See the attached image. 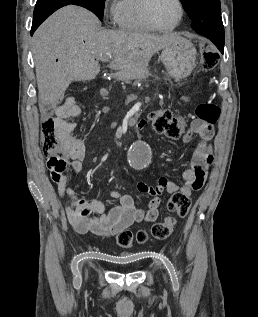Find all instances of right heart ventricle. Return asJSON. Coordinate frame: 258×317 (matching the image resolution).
Returning a JSON list of instances; mask_svg holds the SVG:
<instances>
[{"mask_svg": "<svg viewBox=\"0 0 258 317\" xmlns=\"http://www.w3.org/2000/svg\"><path fill=\"white\" fill-rule=\"evenodd\" d=\"M147 0H117V24L122 30L137 33L153 31L143 19V9Z\"/></svg>", "mask_w": 258, "mask_h": 317, "instance_id": "right-heart-ventricle-1", "label": "right heart ventricle"}]
</instances>
